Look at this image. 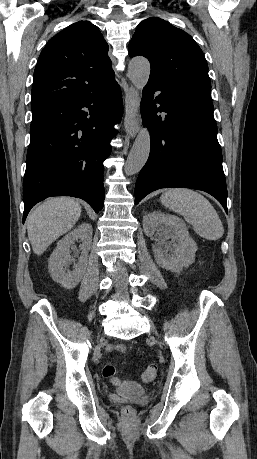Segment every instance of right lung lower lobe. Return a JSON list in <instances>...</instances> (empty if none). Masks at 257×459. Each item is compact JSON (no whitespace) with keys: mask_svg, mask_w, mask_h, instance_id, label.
Returning a JSON list of instances; mask_svg holds the SVG:
<instances>
[{"mask_svg":"<svg viewBox=\"0 0 257 459\" xmlns=\"http://www.w3.org/2000/svg\"><path fill=\"white\" fill-rule=\"evenodd\" d=\"M123 112L114 81L87 96L32 111L31 139L23 181L25 221L49 196H74L96 213L104 204L103 161L111 152L114 125Z\"/></svg>","mask_w":257,"mask_h":459,"instance_id":"right-lung-lower-lobe-1","label":"right lung lower lobe"}]
</instances>
